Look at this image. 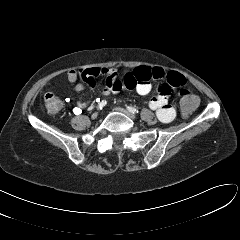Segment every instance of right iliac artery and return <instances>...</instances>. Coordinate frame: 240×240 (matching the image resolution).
<instances>
[{"label":"right iliac artery","mask_w":240,"mask_h":240,"mask_svg":"<svg viewBox=\"0 0 240 240\" xmlns=\"http://www.w3.org/2000/svg\"><path fill=\"white\" fill-rule=\"evenodd\" d=\"M106 104H107V101H106V100H102V101L98 104L97 109L101 110Z\"/></svg>","instance_id":"1"}]
</instances>
